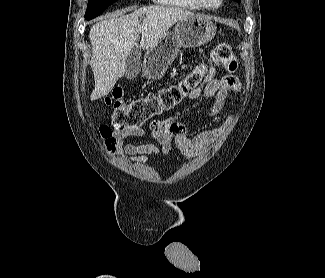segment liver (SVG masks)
Wrapping results in <instances>:
<instances>
[{
  "label": "liver",
  "instance_id": "obj_1",
  "mask_svg": "<svg viewBox=\"0 0 325 278\" xmlns=\"http://www.w3.org/2000/svg\"><path fill=\"white\" fill-rule=\"evenodd\" d=\"M132 9L113 13L90 29L93 51L90 66L95 81V88L90 96L92 101L108 95L124 75L126 59L140 33V47L147 50L157 44L176 22L195 16L182 8L161 5L142 7L124 15Z\"/></svg>",
  "mask_w": 325,
  "mask_h": 278
}]
</instances>
